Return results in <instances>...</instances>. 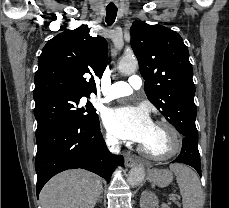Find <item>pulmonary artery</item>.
<instances>
[{
    "label": "pulmonary artery",
    "mask_w": 229,
    "mask_h": 208,
    "mask_svg": "<svg viewBox=\"0 0 229 208\" xmlns=\"http://www.w3.org/2000/svg\"><path fill=\"white\" fill-rule=\"evenodd\" d=\"M142 78L134 73L126 81H118L113 84L109 92V99H116L132 94L142 86Z\"/></svg>",
    "instance_id": "e3ab8cb5"
}]
</instances>
